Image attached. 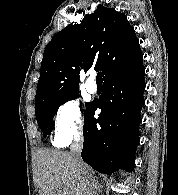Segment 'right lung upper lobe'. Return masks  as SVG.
<instances>
[{
	"mask_svg": "<svg viewBox=\"0 0 178 195\" xmlns=\"http://www.w3.org/2000/svg\"><path fill=\"white\" fill-rule=\"evenodd\" d=\"M139 41L125 14L101 4L81 24L68 25L47 44L35 108L78 93L80 67L95 66L103 78L130 70L142 59Z\"/></svg>",
	"mask_w": 178,
	"mask_h": 195,
	"instance_id": "cb5924a9",
	"label": "right lung upper lobe"
}]
</instances>
